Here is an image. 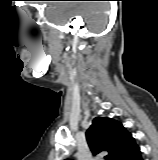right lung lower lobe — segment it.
Instances as JSON below:
<instances>
[{
    "instance_id": "obj_1",
    "label": "right lung lower lobe",
    "mask_w": 158,
    "mask_h": 160,
    "mask_svg": "<svg viewBox=\"0 0 158 160\" xmlns=\"http://www.w3.org/2000/svg\"><path fill=\"white\" fill-rule=\"evenodd\" d=\"M124 160H143L139 147L137 146Z\"/></svg>"
}]
</instances>
